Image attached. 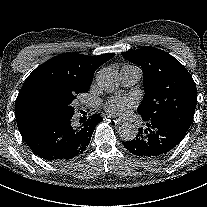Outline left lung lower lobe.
I'll return each mask as SVG.
<instances>
[{"instance_id":"1","label":"left lung lower lobe","mask_w":207,"mask_h":207,"mask_svg":"<svg viewBox=\"0 0 207 207\" xmlns=\"http://www.w3.org/2000/svg\"><path fill=\"white\" fill-rule=\"evenodd\" d=\"M135 139L122 142L127 150L140 157H157L171 151L186 133L167 121H145Z\"/></svg>"}]
</instances>
